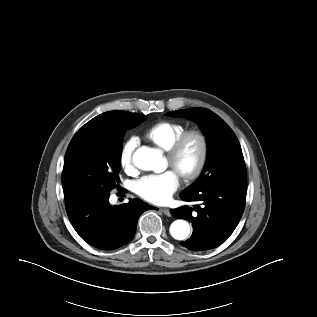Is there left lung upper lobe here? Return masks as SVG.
Instances as JSON below:
<instances>
[{"instance_id":"1","label":"left lung upper lobe","mask_w":317,"mask_h":317,"mask_svg":"<svg viewBox=\"0 0 317 317\" xmlns=\"http://www.w3.org/2000/svg\"><path fill=\"white\" fill-rule=\"evenodd\" d=\"M167 115L195 121L207 137L208 154L204 169L183 193L198 192L219 182L246 181V167L240 143L224 120L203 108L171 111Z\"/></svg>"}]
</instances>
